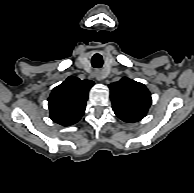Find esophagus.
Wrapping results in <instances>:
<instances>
[{
    "label": "esophagus",
    "instance_id": "obj_1",
    "mask_svg": "<svg viewBox=\"0 0 194 193\" xmlns=\"http://www.w3.org/2000/svg\"><path fill=\"white\" fill-rule=\"evenodd\" d=\"M95 77H96V79H97L98 81H101V80L104 79V76H103L102 72L99 71V70L95 71Z\"/></svg>",
    "mask_w": 194,
    "mask_h": 193
}]
</instances>
